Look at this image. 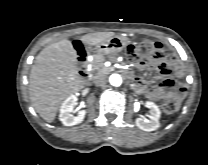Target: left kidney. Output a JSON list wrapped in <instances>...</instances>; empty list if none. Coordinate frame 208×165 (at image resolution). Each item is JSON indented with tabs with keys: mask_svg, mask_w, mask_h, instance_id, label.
<instances>
[{
	"mask_svg": "<svg viewBox=\"0 0 208 165\" xmlns=\"http://www.w3.org/2000/svg\"><path fill=\"white\" fill-rule=\"evenodd\" d=\"M150 110V120H143L141 118L136 119V125L138 128L144 131H154L160 127L159 118L161 115L160 109L153 102L147 101L144 105Z\"/></svg>",
	"mask_w": 208,
	"mask_h": 165,
	"instance_id": "1",
	"label": "left kidney"
}]
</instances>
